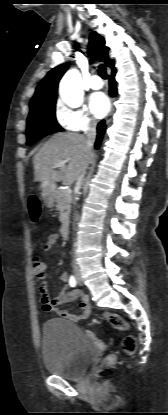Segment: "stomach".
<instances>
[{
    "label": "stomach",
    "instance_id": "1",
    "mask_svg": "<svg viewBox=\"0 0 168 415\" xmlns=\"http://www.w3.org/2000/svg\"><path fill=\"white\" fill-rule=\"evenodd\" d=\"M42 199L47 207H52L54 203V192L51 189L43 190Z\"/></svg>",
    "mask_w": 168,
    "mask_h": 415
}]
</instances>
